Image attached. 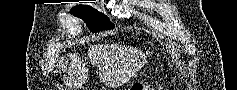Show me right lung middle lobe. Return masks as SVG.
<instances>
[{
  "instance_id": "right-lung-middle-lobe-1",
  "label": "right lung middle lobe",
  "mask_w": 237,
  "mask_h": 90,
  "mask_svg": "<svg viewBox=\"0 0 237 90\" xmlns=\"http://www.w3.org/2000/svg\"><path fill=\"white\" fill-rule=\"evenodd\" d=\"M71 14L80 17L91 32H98L101 30H109L114 28V24L110 22L109 18L90 6L77 5L71 9Z\"/></svg>"
}]
</instances>
